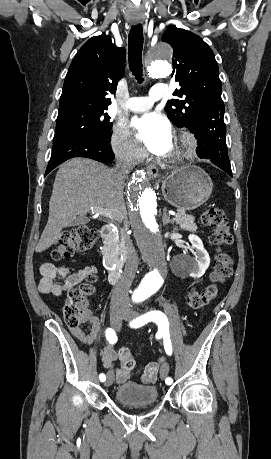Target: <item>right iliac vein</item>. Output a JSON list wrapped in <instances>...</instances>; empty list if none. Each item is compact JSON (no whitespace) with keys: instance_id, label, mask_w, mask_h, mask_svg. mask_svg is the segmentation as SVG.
I'll list each match as a JSON object with an SVG mask.
<instances>
[{"instance_id":"63e3f726","label":"right iliac vein","mask_w":271,"mask_h":459,"mask_svg":"<svg viewBox=\"0 0 271 459\" xmlns=\"http://www.w3.org/2000/svg\"><path fill=\"white\" fill-rule=\"evenodd\" d=\"M124 314H125V309H115L110 312L111 323L116 329L120 328ZM113 379H114L113 371H108L104 386L106 387L110 386L113 383Z\"/></svg>"}]
</instances>
